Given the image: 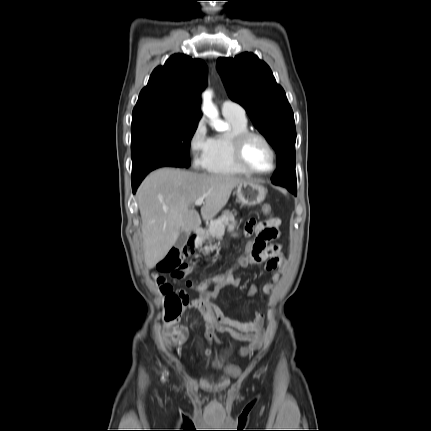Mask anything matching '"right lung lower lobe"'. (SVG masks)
Returning a JSON list of instances; mask_svg holds the SVG:
<instances>
[{
	"label": "right lung lower lobe",
	"mask_w": 431,
	"mask_h": 431,
	"mask_svg": "<svg viewBox=\"0 0 431 431\" xmlns=\"http://www.w3.org/2000/svg\"><path fill=\"white\" fill-rule=\"evenodd\" d=\"M183 167V165L173 157L161 153H153L148 155L145 159L133 164L132 172V189L135 193L137 187L143 178L152 170L164 167Z\"/></svg>",
	"instance_id": "right-lung-lower-lobe-1"
}]
</instances>
